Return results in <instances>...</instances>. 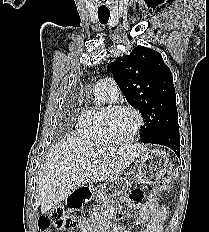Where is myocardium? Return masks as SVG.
Masks as SVG:
<instances>
[{
    "mask_svg": "<svg viewBox=\"0 0 209 232\" xmlns=\"http://www.w3.org/2000/svg\"><path fill=\"white\" fill-rule=\"evenodd\" d=\"M123 110L132 112L136 117L137 124L135 126L134 131L130 135L126 137H116L111 132L110 121H111L112 116L115 113L119 111H123ZM142 125H143V117L141 113L139 112L138 109H136L135 107L131 105H126V104L111 105L104 111V114H103V130H104L105 137L109 141H114V142L131 141L138 134Z\"/></svg>",
    "mask_w": 209,
    "mask_h": 232,
    "instance_id": "f54148a6",
    "label": "myocardium"
}]
</instances>
